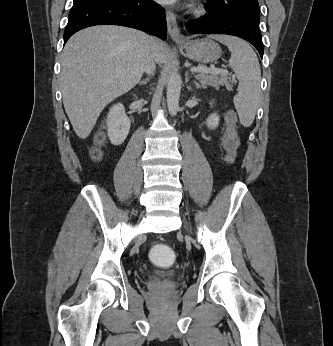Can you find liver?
Returning a JSON list of instances; mask_svg holds the SVG:
<instances>
[{"mask_svg": "<svg viewBox=\"0 0 333 346\" xmlns=\"http://www.w3.org/2000/svg\"><path fill=\"white\" fill-rule=\"evenodd\" d=\"M151 51L164 63V44L135 29L101 25L75 33L61 58L60 82L65 111L77 136L87 138L105 108L141 79Z\"/></svg>", "mask_w": 333, "mask_h": 346, "instance_id": "liver-1", "label": "liver"}]
</instances>
